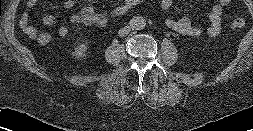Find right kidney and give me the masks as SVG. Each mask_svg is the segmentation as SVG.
<instances>
[{"instance_id": "1", "label": "right kidney", "mask_w": 253, "mask_h": 131, "mask_svg": "<svg viewBox=\"0 0 253 131\" xmlns=\"http://www.w3.org/2000/svg\"><path fill=\"white\" fill-rule=\"evenodd\" d=\"M87 50L86 44H81L75 48V51L72 52V56H75L76 58L83 57L85 54V51Z\"/></svg>"}]
</instances>
